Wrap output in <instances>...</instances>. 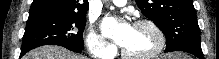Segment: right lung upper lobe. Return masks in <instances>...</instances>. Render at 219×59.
<instances>
[{"instance_id": "obj_1", "label": "right lung upper lobe", "mask_w": 219, "mask_h": 59, "mask_svg": "<svg viewBox=\"0 0 219 59\" xmlns=\"http://www.w3.org/2000/svg\"><path fill=\"white\" fill-rule=\"evenodd\" d=\"M88 0H33L30 12H50L55 14H86Z\"/></svg>"}]
</instances>
